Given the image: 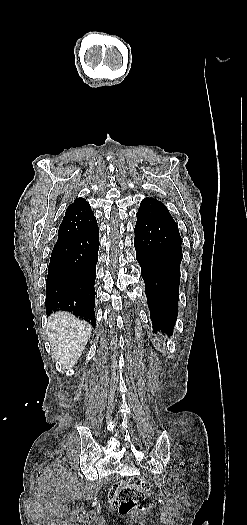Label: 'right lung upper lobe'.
<instances>
[{"label":"right lung upper lobe","mask_w":247,"mask_h":525,"mask_svg":"<svg viewBox=\"0 0 247 525\" xmlns=\"http://www.w3.org/2000/svg\"><path fill=\"white\" fill-rule=\"evenodd\" d=\"M96 218L90 204L83 198L75 199L69 205L58 230V240L55 245L64 243L96 225Z\"/></svg>","instance_id":"right-lung-upper-lobe-1"}]
</instances>
